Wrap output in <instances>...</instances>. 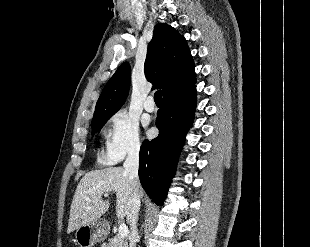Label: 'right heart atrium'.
<instances>
[{
    "mask_svg": "<svg viewBox=\"0 0 310 247\" xmlns=\"http://www.w3.org/2000/svg\"><path fill=\"white\" fill-rule=\"evenodd\" d=\"M109 126L105 137L103 161L114 164L126 157L137 156L141 149L138 122L122 110L110 118Z\"/></svg>",
    "mask_w": 310,
    "mask_h": 247,
    "instance_id": "d8ad5b80",
    "label": "right heart atrium"
}]
</instances>
